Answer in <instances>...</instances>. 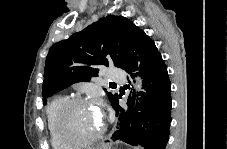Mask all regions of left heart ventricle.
<instances>
[{"instance_id":"obj_1","label":"left heart ventricle","mask_w":227,"mask_h":149,"mask_svg":"<svg viewBox=\"0 0 227 149\" xmlns=\"http://www.w3.org/2000/svg\"><path fill=\"white\" fill-rule=\"evenodd\" d=\"M101 123L100 112L88 101L69 109L65 117V131L70 137L85 139L97 133Z\"/></svg>"}]
</instances>
